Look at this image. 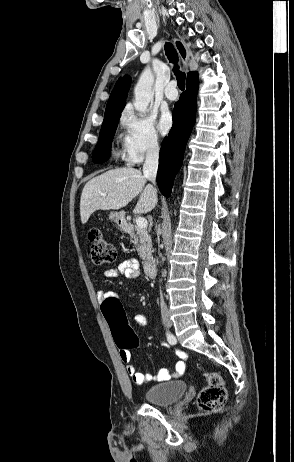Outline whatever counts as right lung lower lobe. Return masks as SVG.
Masks as SVG:
<instances>
[{
	"instance_id": "98d812e1",
	"label": "right lung lower lobe",
	"mask_w": 294,
	"mask_h": 462,
	"mask_svg": "<svg viewBox=\"0 0 294 462\" xmlns=\"http://www.w3.org/2000/svg\"><path fill=\"white\" fill-rule=\"evenodd\" d=\"M198 91L197 75L186 82V91L175 104L173 126L162 143L157 183L163 195L169 197L173 180L180 169L184 150L195 123L196 95Z\"/></svg>"
}]
</instances>
